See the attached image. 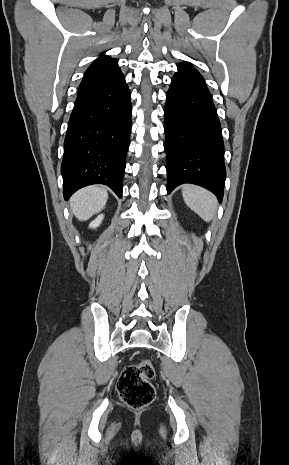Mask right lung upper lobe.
Here are the masks:
<instances>
[{
	"label": "right lung upper lobe",
	"mask_w": 289,
	"mask_h": 465,
	"mask_svg": "<svg viewBox=\"0 0 289 465\" xmlns=\"http://www.w3.org/2000/svg\"><path fill=\"white\" fill-rule=\"evenodd\" d=\"M123 76L117 60L102 55L87 69L79 92L103 88L115 83Z\"/></svg>",
	"instance_id": "right-lung-upper-lobe-1"
}]
</instances>
